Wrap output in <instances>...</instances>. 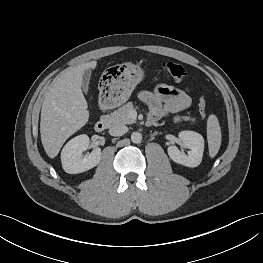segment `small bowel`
I'll return each mask as SVG.
<instances>
[{
  "instance_id": "small-bowel-1",
  "label": "small bowel",
  "mask_w": 263,
  "mask_h": 263,
  "mask_svg": "<svg viewBox=\"0 0 263 263\" xmlns=\"http://www.w3.org/2000/svg\"><path fill=\"white\" fill-rule=\"evenodd\" d=\"M139 99L150 109L149 122L153 123L164 116L172 115L175 120L189 107L191 97L188 90H178L172 86L161 85L154 92L142 91Z\"/></svg>"
}]
</instances>
